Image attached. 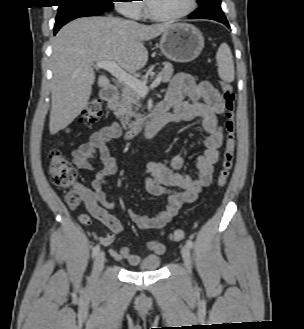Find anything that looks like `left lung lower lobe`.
<instances>
[{
  "label": "left lung lower lobe",
  "instance_id": "0a47b994",
  "mask_svg": "<svg viewBox=\"0 0 304 329\" xmlns=\"http://www.w3.org/2000/svg\"><path fill=\"white\" fill-rule=\"evenodd\" d=\"M199 4L200 7L190 15L189 19H211L221 22L230 28L220 6L221 0H203Z\"/></svg>",
  "mask_w": 304,
  "mask_h": 329
}]
</instances>
